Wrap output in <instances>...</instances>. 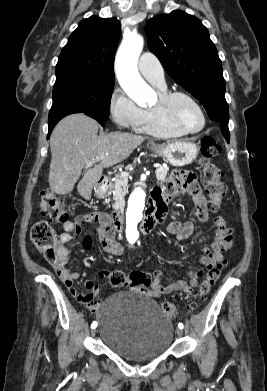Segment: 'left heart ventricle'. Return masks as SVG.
Listing matches in <instances>:
<instances>
[{
	"label": "left heart ventricle",
	"mask_w": 267,
	"mask_h": 391,
	"mask_svg": "<svg viewBox=\"0 0 267 391\" xmlns=\"http://www.w3.org/2000/svg\"><path fill=\"white\" fill-rule=\"evenodd\" d=\"M174 118L186 129L197 130L202 125V116L189 101L179 98L172 104Z\"/></svg>",
	"instance_id": "obj_1"
}]
</instances>
